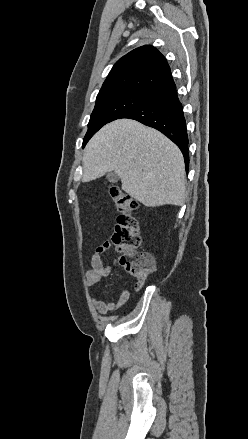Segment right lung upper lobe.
Returning a JSON list of instances; mask_svg holds the SVG:
<instances>
[{
    "label": "right lung upper lobe",
    "instance_id": "obj_1",
    "mask_svg": "<svg viewBox=\"0 0 248 439\" xmlns=\"http://www.w3.org/2000/svg\"><path fill=\"white\" fill-rule=\"evenodd\" d=\"M172 84L174 81L165 57L153 46L145 45L114 64L97 98L118 92L152 96Z\"/></svg>",
    "mask_w": 248,
    "mask_h": 439
}]
</instances>
